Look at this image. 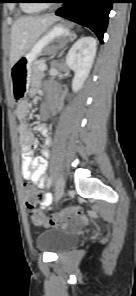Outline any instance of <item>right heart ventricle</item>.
<instances>
[{
	"instance_id": "1",
	"label": "right heart ventricle",
	"mask_w": 136,
	"mask_h": 296,
	"mask_svg": "<svg viewBox=\"0 0 136 296\" xmlns=\"http://www.w3.org/2000/svg\"><path fill=\"white\" fill-rule=\"evenodd\" d=\"M37 0H24L21 4V8L25 13H36L42 10V5L36 3Z\"/></svg>"
}]
</instances>
